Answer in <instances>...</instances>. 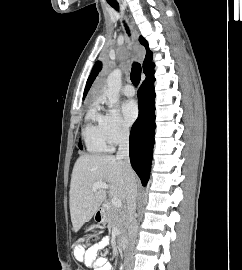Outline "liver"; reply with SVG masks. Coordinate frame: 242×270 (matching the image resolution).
<instances>
[{"instance_id": "1", "label": "liver", "mask_w": 242, "mask_h": 270, "mask_svg": "<svg viewBox=\"0 0 242 270\" xmlns=\"http://www.w3.org/2000/svg\"><path fill=\"white\" fill-rule=\"evenodd\" d=\"M137 182L135 173L133 174ZM103 182L106 189L92 191V185ZM107 193L112 198L126 200L127 181L121 160L113 155H82L73 168L70 184V215L74 232L100 210Z\"/></svg>"}]
</instances>
